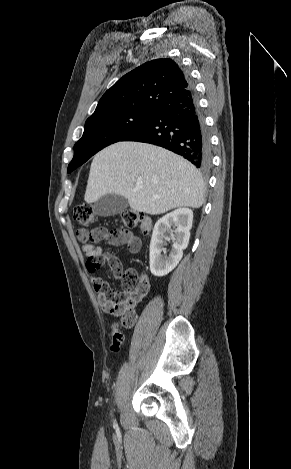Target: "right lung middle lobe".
<instances>
[{"label":"right lung middle lobe","instance_id":"1","mask_svg":"<svg viewBox=\"0 0 291 469\" xmlns=\"http://www.w3.org/2000/svg\"><path fill=\"white\" fill-rule=\"evenodd\" d=\"M154 110L131 109L105 117L87 119L82 138L74 145L68 173L104 147L123 140L143 125Z\"/></svg>","mask_w":291,"mask_h":469}]
</instances>
